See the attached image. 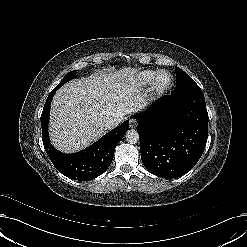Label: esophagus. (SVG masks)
I'll use <instances>...</instances> for the list:
<instances>
[{"instance_id":"1","label":"esophagus","mask_w":247,"mask_h":247,"mask_svg":"<svg viewBox=\"0 0 247 247\" xmlns=\"http://www.w3.org/2000/svg\"><path fill=\"white\" fill-rule=\"evenodd\" d=\"M129 123H130V128H136L138 125V122L135 119H131Z\"/></svg>"}]
</instances>
